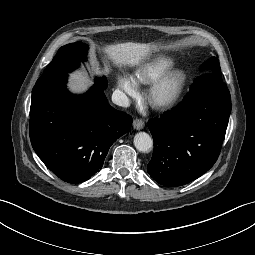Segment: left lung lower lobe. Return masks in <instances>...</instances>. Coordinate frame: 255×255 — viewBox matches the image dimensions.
Instances as JSON below:
<instances>
[{"mask_svg": "<svg viewBox=\"0 0 255 255\" xmlns=\"http://www.w3.org/2000/svg\"><path fill=\"white\" fill-rule=\"evenodd\" d=\"M230 112L231 97L221 75L196 78L177 108L148 121L154 140L150 176L176 187L203 175L219 156Z\"/></svg>", "mask_w": 255, "mask_h": 255, "instance_id": "0a47b994", "label": "left lung lower lobe"}]
</instances>
